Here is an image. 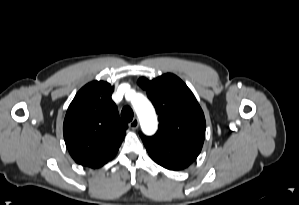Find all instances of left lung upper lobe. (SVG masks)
I'll list each match as a JSON object with an SVG mask.
<instances>
[{"instance_id": "5c2ea615", "label": "left lung upper lobe", "mask_w": 299, "mask_h": 205, "mask_svg": "<svg viewBox=\"0 0 299 205\" xmlns=\"http://www.w3.org/2000/svg\"><path fill=\"white\" fill-rule=\"evenodd\" d=\"M138 84L146 90L160 121L155 135L147 137L140 133L143 142L185 141L203 145L205 117L195 96L181 79L168 73L151 81L142 77Z\"/></svg>"}]
</instances>
